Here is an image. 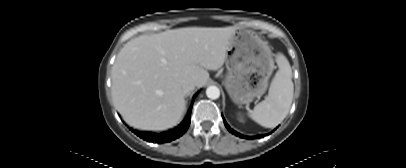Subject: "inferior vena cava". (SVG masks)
<instances>
[{
    "mask_svg": "<svg viewBox=\"0 0 406 168\" xmlns=\"http://www.w3.org/2000/svg\"><path fill=\"white\" fill-rule=\"evenodd\" d=\"M195 88V83L193 81H187L182 88L183 94L188 95Z\"/></svg>",
    "mask_w": 406,
    "mask_h": 168,
    "instance_id": "obj_1",
    "label": "inferior vena cava"
}]
</instances>
